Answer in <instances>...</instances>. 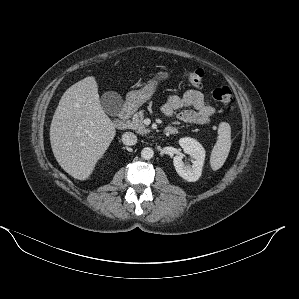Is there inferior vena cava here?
<instances>
[{"instance_id":"602c4592","label":"inferior vena cava","mask_w":299,"mask_h":299,"mask_svg":"<svg viewBox=\"0 0 299 299\" xmlns=\"http://www.w3.org/2000/svg\"><path fill=\"white\" fill-rule=\"evenodd\" d=\"M122 142L127 146H132L137 143V136L132 132H125L122 135Z\"/></svg>"}]
</instances>
